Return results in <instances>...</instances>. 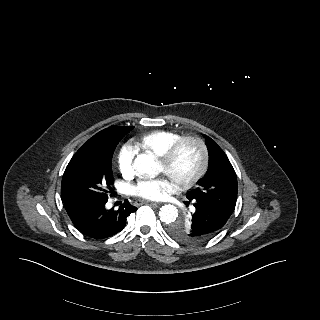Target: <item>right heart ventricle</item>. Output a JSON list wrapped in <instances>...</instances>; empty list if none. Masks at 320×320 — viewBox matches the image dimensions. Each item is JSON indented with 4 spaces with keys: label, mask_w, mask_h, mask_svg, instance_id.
I'll return each instance as SVG.
<instances>
[{
    "label": "right heart ventricle",
    "mask_w": 320,
    "mask_h": 320,
    "mask_svg": "<svg viewBox=\"0 0 320 320\" xmlns=\"http://www.w3.org/2000/svg\"><path fill=\"white\" fill-rule=\"evenodd\" d=\"M180 138L176 132L169 130H155L138 139V146L158 157H162L166 151Z\"/></svg>",
    "instance_id": "obj_1"
}]
</instances>
